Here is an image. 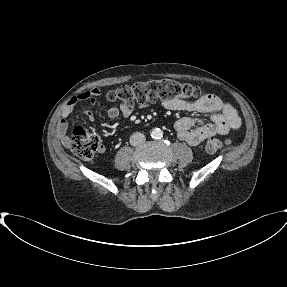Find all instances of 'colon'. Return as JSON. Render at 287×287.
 <instances>
[{
	"label": "colon",
	"instance_id": "1",
	"mask_svg": "<svg viewBox=\"0 0 287 287\" xmlns=\"http://www.w3.org/2000/svg\"><path fill=\"white\" fill-rule=\"evenodd\" d=\"M204 96L203 90L198 86L163 79L122 86L111 91L108 94V100L133 107L136 104L144 105L157 100L182 99L195 102ZM226 144L227 141L225 140L211 138L207 141L205 149L208 153H214ZM69 147L76 157L87 161L92 159L101 149V139L93 132H89L82 127H75L69 140Z\"/></svg>",
	"mask_w": 287,
	"mask_h": 287
}]
</instances>
